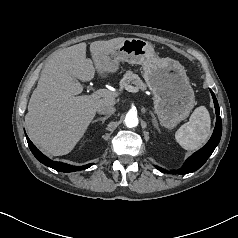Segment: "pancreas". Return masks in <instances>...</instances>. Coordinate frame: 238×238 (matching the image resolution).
<instances>
[{"instance_id":"pancreas-1","label":"pancreas","mask_w":238,"mask_h":238,"mask_svg":"<svg viewBox=\"0 0 238 238\" xmlns=\"http://www.w3.org/2000/svg\"><path fill=\"white\" fill-rule=\"evenodd\" d=\"M130 84H134L136 89H140L142 91L146 89V85L143 83L140 77L129 70L124 74L120 81V90L126 89Z\"/></svg>"}]
</instances>
